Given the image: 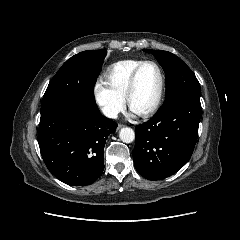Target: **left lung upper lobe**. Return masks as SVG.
<instances>
[{"label": "left lung upper lobe", "mask_w": 240, "mask_h": 240, "mask_svg": "<svg viewBox=\"0 0 240 240\" xmlns=\"http://www.w3.org/2000/svg\"><path fill=\"white\" fill-rule=\"evenodd\" d=\"M151 53L166 74V100L186 93L200 94V84L192 70L176 55L163 50H144Z\"/></svg>", "instance_id": "5c2ea615"}]
</instances>
